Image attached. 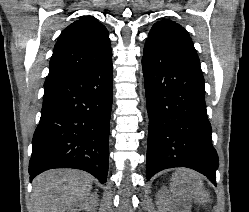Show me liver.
<instances>
[{
	"label": "liver",
	"instance_id": "liver-1",
	"mask_svg": "<svg viewBox=\"0 0 249 212\" xmlns=\"http://www.w3.org/2000/svg\"><path fill=\"white\" fill-rule=\"evenodd\" d=\"M172 192L190 200L196 196L201 204L210 202L209 192L203 190L199 174L179 168L172 178ZM93 178L81 170H48L33 180V212H68L90 196Z\"/></svg>",
	"mask_w": 249,
	"mask_h": 212
}]
</instances>
